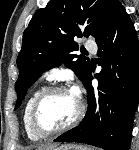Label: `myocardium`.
Segmentation results:
<instances>
[{"label": "myocardium", "mask_w": 139, "mask_h": 150, "mask_svg": "<svg viewBox=\"0 0 139 150\" xmlns=\"http://www.w3.org/2000/svg\"><path fill=\"white\" fill-rule=\"evenodd\" d=\"M58 91H69L72 92V90L70 88H68L65 85H61V84H55V85H50L45 87L37 96V98L35 99L31 111H30V127L32 129V131L40 136V137H48L51 135H55V134H59V133H63L66 132L72 128H74L75 126H77L80 121L82 120L83 116H84V112H85V106L84 103L82 102V100L77 97L78 100V109L77 112L74 116V118L66 125L56 128V129H43L39 123H38V113H39V109L42 105V103L44 102V100L51 95L52 93L58 92Z\"/></svg>", "instance_id": "f54148a6"}]
</instances>
